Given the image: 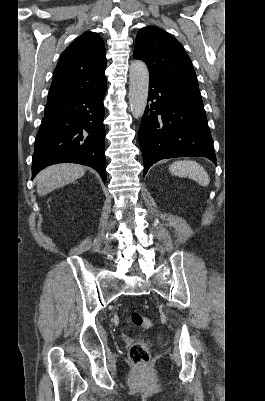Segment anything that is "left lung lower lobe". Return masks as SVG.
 I'll return each instance as SVG.
<instances>
[{"mask_svg":"<svg viewBox=\"0 0 265 401\" xmlns=\"http://www.w3.org/2000/svg\"><path fill=\"white\" fill-rule=\"evenodd\" d=\"M148 101L138 133L144 175L166 158L203 156L216 164L199 88L149 79Z\"/></svg>","mask_w":265,"mask_h":401,"instance_id":"1","label":"left lung lower lobe"}]
</instances>
